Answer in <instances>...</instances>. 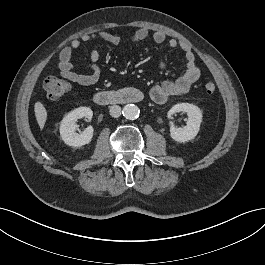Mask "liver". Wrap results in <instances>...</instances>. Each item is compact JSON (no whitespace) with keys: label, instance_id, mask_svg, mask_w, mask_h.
<instances>
[{"label":"liver","instance_id":"1","mask_svg":"<svg viewBox=\"0 0 265 265\" xmlns=\"http://www.w3.org/2000/svg\"><path fill=\"white\" fill-rule=\"evenodd\" d=\"M34 112L40 129H43L47 120V111L44 105L39 101L36 102L34 105Z\"/></svg>","mask_w":265,"mask_h":265}]
</instances>
